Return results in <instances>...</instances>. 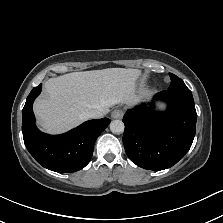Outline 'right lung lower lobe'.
Here are the masks:
<instances>
[{
    "label": "right lung lower lobe",
    "instance_id": "right-lung-lower-lobe-1",
    "mask_svg": "<svg viewBox=\"0 0 223 223\" xmlns=\"http://www.w3.org/2000/svg\"><path fill=\"white\" fill-rule=\"evenodd\" d=\"M42 85L33 88L22 110V132L26 148L43 167L60 173L84 168L91 160L97 137L110 123L108 118L87 121L62 134L48 135L38 130L32 105Z\"/></svg>",
    "mask_w": 223,
    "mask_h": 223
}]
</instances>
